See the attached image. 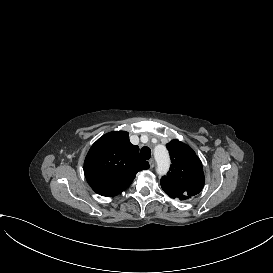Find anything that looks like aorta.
Returning <instances> with one entry per match:
<instances>
[{
  "instance_id": "1",
  "label": "aorta",
  "mask_w": 273,
  "mask_h": 273,
  "mask_svg": "<svg viewBox=\"0 0 273 273\" xmlns=\"http://www.w3.org/2000/svg\"><path fill=\"white\" fill-rule=\"evenodd\" d=\"M155 160L157 162V173L163 175L168 171L170 160L165 147L157 146L154 152Z\"/></svg>"
}]
</instances>
